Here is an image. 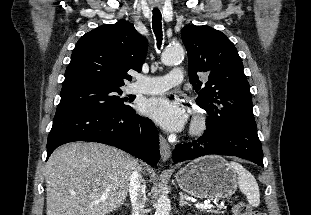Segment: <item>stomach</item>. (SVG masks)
<instances>
[{
    "label": "stomach",
    "instance_id": "0dacf381",
    "mask_svg": "<svg viewBox=\"0 0 311 215\" xmlns=\"http://www.w3.org/2000/svg\"><path fill=\"white\" fill-rule=\"evenodd\" d=\"M178 186L199 199H223L237 190L236 173L222 157L209 155L189 162L176 174Z\"/></svg>",
    "mask_w": 311,
    "mask_h": 215
}]
</instances>
